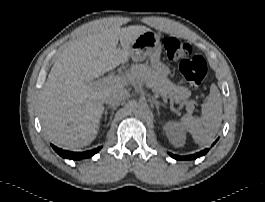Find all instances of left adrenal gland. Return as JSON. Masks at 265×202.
I'll use <instances>...</instances> for the list:
<instances>
[{"label":"left adrenal gland","instance_id":"left-adrenal-gland-1","mask_svg":"<svg viewBox=\"0 0 265 202\" xmlns=\"http://www.w3.org/2000/svg\"><path fill=\"white\" fill-rule=\"evenodd\" d=\"M153 103L155 104V106H156V108H157L158 116H160V112H159V109H160V103H159L157 100H155V99H153Z\"/></svg>","mask_w":265,"mask_h":202}]
</instances>
